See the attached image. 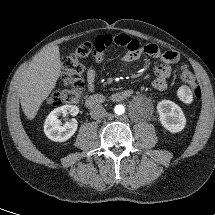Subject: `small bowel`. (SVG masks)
Here are the masks:
<instances>
[{
    "instance_id": "1",
    "label": "small bowel",
    "mask_w": 215,
    "mask_h": 215,
    "mask_svg": "<svg viewBox=\"0 0 215 215\" xmlns=\"http://www.w3.org/2000/svg\"><path fill=\"white\" fill-rule=\"evenodd\" d=\"M92 45V62L85 70L86 86L90 93L95 91L96 65L104 60L105 52L111 46L126 48L127 51L121 58L125 63L138 60L143 53L154 59H159L161 62L155 67V77L152 81V86L159 91L167 89L172 72L171 64H176L179 61V56L176 52H161L156 44L141 46L137 40L132 39L127 34L100 35L96 37Z\"/></svg>"
}]
</instances>
